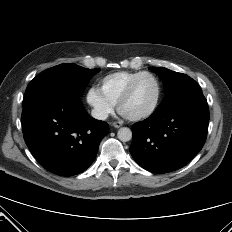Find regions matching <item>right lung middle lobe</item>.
<instances>
[{
	"label": "right lung middle lobe",
	"instance_id": "obj_1",
	"mask_svg": "<svg viewBox=\"0 0 232 232\" xmlns=\"http://www.w3.org/2000/svg\"><path fill=\"white\" fill-rule=\"evenodd\" d=\"M100 69H86L75 64H61L37 75L28 85L23 103L44 95L80 97L90 79Z\"/></svg>",
	"mask_w": 232,
	"mask_h": 232
}]
</instances>
